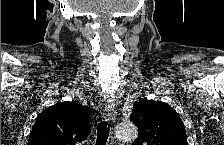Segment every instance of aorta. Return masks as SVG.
<instances>
[{"instance_id": "aorta-1", "label": "aorta", "mask_w": 224, "mask_h": 145, "mask_svg": "<svg viewBox=\"0 0 224 145\" xmlns=\"http://www.w3.org/2000/svg\"><path fill=\"white\" fill-rule=\"evenodd\" d=\"M114 135L120 141H133L138 136V130L132 122H122L116 126Z\"/></svg>"}]
</instances>
